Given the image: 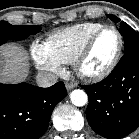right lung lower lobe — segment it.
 Returning <instances> with one entry per match:
<instances>
[{"label":"right lung lower lobe","instance_id":"obj_1","mask_svg":"<svg viewBox=\"0 0 139 139\" xmlns=\"http://www.w3.org/2000/svg\"><path fill=\"white\" fill-rule=\"evenodd\" d=\"M66 95L63 82L49 88L0 83V139L40 138L48 128L54 107Z\"/></svg>","mask_w":139,"mask_h":139}]
</instances>
